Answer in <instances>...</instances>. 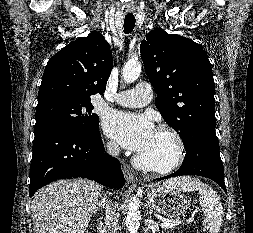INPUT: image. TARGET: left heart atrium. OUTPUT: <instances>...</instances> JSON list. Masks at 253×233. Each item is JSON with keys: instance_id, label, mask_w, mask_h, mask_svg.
Returning <instances> with one entry per match:
<instances>
[{"instance_id": "left-heart-atrium-1", "label": "left heart atrium", "mask_w": 253, "mask_h": 233, "mask_svg": "<svg viewBox=\"0 0 253 233\" xmlns=\"http://www.w3.org/2000/svg\"><path fill=\"white\" fill-rule=\"evenodd\" d=\"M103 129L121 146L136 153L148 145L155 131L147 115L123 111H113L106 115Z\"/></svg>"}]
</instances>
